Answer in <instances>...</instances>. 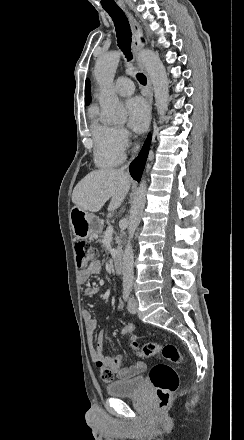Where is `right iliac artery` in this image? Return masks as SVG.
I'll return each instance as SVG.
<instances>
[{"instance_id":"82829eb1","label":"right iliac artery","mask_w":244,"mask_h":440,"mask_svg":"<svg viewBox=\"0 0 244 440\" xmlns=\"http://www.w3.org/2000/svg\"><path fill=\"white\" fill-rule=\"evenodd\" d=\"M130 296V289L128 287H125L123 290V299L124 301H128Z\"/></svg>"}]
</instances>
